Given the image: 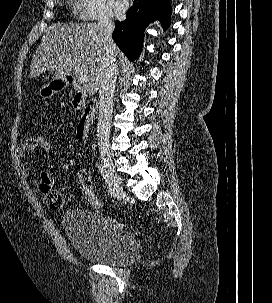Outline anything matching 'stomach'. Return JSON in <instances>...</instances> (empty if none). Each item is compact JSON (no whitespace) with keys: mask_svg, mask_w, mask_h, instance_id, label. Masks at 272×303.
Wrapping results in <instances>:
<instances>
[{"mask_svg":"<svg viewBox=\"0 0 272 303\" xmlns=\"http://www.w3.org/2000/svg\"><path fill=\"white\" fill-rule=\"evenodd\" d=\"M67 86L66 80H52L38 89V94L42 97H50L60 92Z\"/></svg>","mask_w":272,"mask_h":303,"instance_id":"stomach-1","label":"stomach"}]
</instances>
